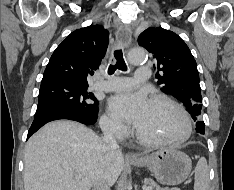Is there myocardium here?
<instances>
[{
    "instance_id": "f54148a6",
    "label": "myocardium",
    "mask_w": 234,
    "mask_h": 190,
    "mask_svg": "<svg viewBox=\"0 0 234 190\" xmlns=\"http://www.w3.org/2000/svg\"><path fill=\"white\" fill-rule=\"evenodd\" d=\"M151 102H165L172 106L182 118L184 129L180 136L171 139H153L143 136L136 128V138L144 145L148 146H163V145H180L187 141L192 133V124L190 117L185 108L172 97L165 94H156L151 98Z\"/></svg>"
}]
</instances>
